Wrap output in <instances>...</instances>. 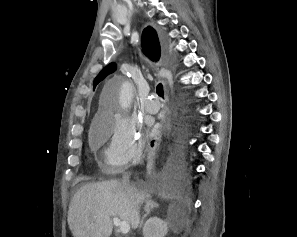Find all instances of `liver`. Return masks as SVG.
I'll return each mask as SVG.
<instances>
[{
    "label": "liver",
    "mask_w": 297,
    "mask_h": 237,
    "mask_svg": "<svg viewBox=\"0 0 297 237\" xmlns=\"http://www.w3.org/2000/svg\"><path fill=\"white\" fill-rule=\"evenodd\" d=\"M132 188V187H131ZM122 182L111 180L83 185L73 196L68 210V225L74 237H110L112 217L127 221L135 230L140 223L139 205L145 193Z\"/></svg>",
    "instance_id": "1"
}]
</instances>
